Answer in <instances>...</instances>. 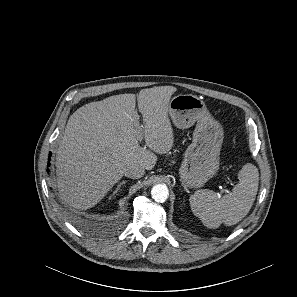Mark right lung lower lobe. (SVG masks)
Masks as SVG:
<instances>
[{
  "instance_id": "98d812e1",
  "label": "right lung lower lobe",
  "mask_w": 297,
  "mask_h": 297,
  "mask_svg": "<svg viewBox=\"0 0 297 297\" xmlns=\"http://www.w3.org/2000/svg\"><path fill=\"white\" fill-rule=\"evenodd\" d=\"M49 155H51V153H49ZM48 160H50V157L48 158ZM48 166H49V163H48Z\"/></svg>"
}]
</instances>
